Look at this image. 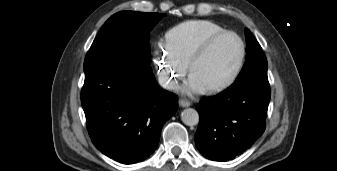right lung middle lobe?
I'll use <instances>...</instances> for the list:
<instances>
[{
	"instance_id": "1",
	"label": "right lung middle lobe",
	"mask_w": 337,
	"mask_h": 171,
	"mask_svg": "<svg viewBox=\"0 0 337 171\" xmlns=\"http://www.w3.org/2000/svg\"><path fill=\"white\" fill-rule=\"evenodd\" d=\"M164 15L134 11H121L112 15L91 45L85 58L84 71L110 60L149 66V32Z\"/></svg>"
}]
</instances>
